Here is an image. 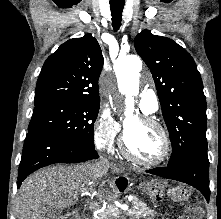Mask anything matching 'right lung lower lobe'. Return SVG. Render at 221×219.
<instances>
[{
	"instance_id": "1",
	"label": "right lung lower lobe",
	"mask_w": 221,
	"mask_h": 219,
	"mask_svg": "<svg viewBox=\"0 0 221 219\" xmlns=\"http://www.w3.org/2000/svg\"><path fill=\"white\" fill-rule=\"evenodd\" d=\"M98 157L94 148L76 144L44 131L31 130L23 147L17 187H20L29 174L44 166L55 163H78Z\"/></svg>"
}]
</instances>
